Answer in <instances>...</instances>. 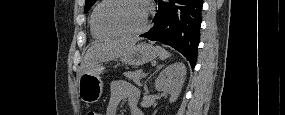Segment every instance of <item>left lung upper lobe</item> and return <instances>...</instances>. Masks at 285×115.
<instances>
[{"label": "left lung upper lobe", "instance_id": "1", "mask_svg": "<svg viewBox=\"0 0 285 115\" xmlns=\"http://www.w3.org/2000/svg\"><path fill=\"white\" fill-rule=\"evenodd\" d=\"M96 2V0H86L85 2V13L89 10V8Z\"/></svg>", "mask_w": 285, "mask_h": 115}]
</instances>
